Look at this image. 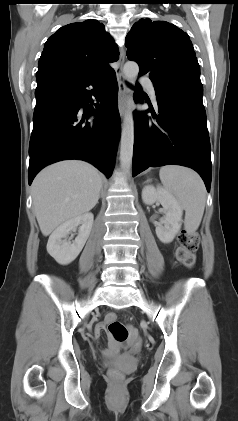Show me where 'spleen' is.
I'll list each match as a JSON object with an SVG mask.
<instances>
[{
  "instance_id": "spleen-1",
  "label": "spleen",
  "mask_w": 238,
  "mask_h": 421,
  "mask_svg": "<svg viewBox=\"0 0 238 421\" xmlns=\"http://www.w3.org/2000/svg\"><path fill=\"white\" fill-rule=\"evenodd\" d=\"M164 188L173 193L185 210V228L195 232L199 227L206 203V189L201 177L193 170L176 165L160 168Z\"/></svg>"
}]
</instances>
